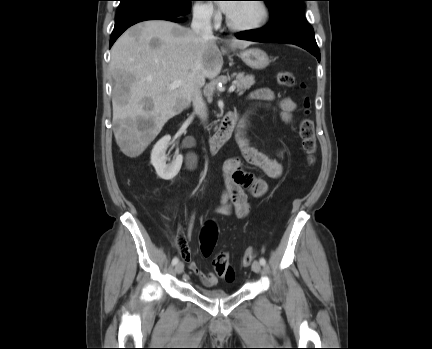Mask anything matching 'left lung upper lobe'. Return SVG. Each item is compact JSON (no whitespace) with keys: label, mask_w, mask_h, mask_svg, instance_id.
I'll list each match as a JSON object with an SVG mask.
<instances>
[{"label":"left lung upper lobe","mask_w":432,"mask_h":349,"mask_svg":"<svg viewBox=\"0 0 432 349\" xmlns=\"http://www.w3.org/2000/svg\"><path fill=\"white\" fill-rule=\"evenodd\" d=\"M267 3L273 22H307L304 16L303 1L306 0H263Z\"/></svg>","instance_id":"1"}]
</instances>
